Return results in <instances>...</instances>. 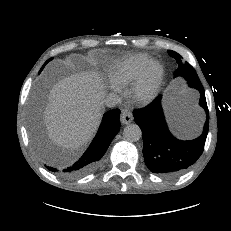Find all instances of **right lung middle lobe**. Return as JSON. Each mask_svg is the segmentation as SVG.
Listing matches in <instances>:
<instances>
[{
  "label": "right lung middle lobe",
  "mask_w": 231,
  "mask_h": 231,
  "mask_svg": "<svg viewBox=\"0 0 231 231\" xmlns=\"http://www.w3.org/2000/svg\"><path fill=\"white\" fill-rule=\"evenodd\" d=\"M50 60H51V59H50ZM43 67H44V66H43ZM43 67H42V69H43ZM42 69H41V70H42ZM34 126H35V128H33V131H34L35 138H37L38 133H39L38 125H37V124H35Z\"/></svg>",
  "instance_id": "1"
}]
</instances>
